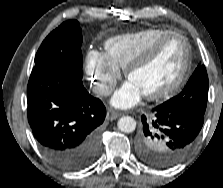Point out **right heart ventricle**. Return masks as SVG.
Masks as SVG:
<instances>
[{
	"instance_id": "e07e8e85",
	"label": "right heart ventricle",
	"mask_w": 223,
	"mask_h": 188,
	"mask_svg": "<svg viewBox=\"0 0 223 188\" xmlns=\"http://www.w3.org/2000/svg\"><path fill=\"white\" fill-rule=\"evenodd\" d=\"M167 31L170 30L150 27L113 36L104 43L105 55L118 68L125 69L143 48Z\"/></svg>"
}]
</instances>
